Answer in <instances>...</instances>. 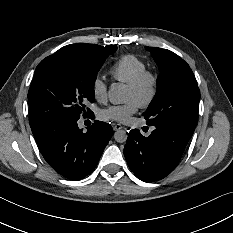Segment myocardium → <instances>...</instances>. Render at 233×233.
<instances>
[{
    "mask_svg": "<svg viewBox=\"0 0 233 233\" xmlns=\"http://www.w3.org/2000/svg\"><path fill=\"white\" fill-rule=\"evenodd\" d=\"M158 85V74L155 71L145 69L127 84V88L134 91L145 90L146 94L141 105L147 106L155 99Z\"/></svg>",
    "mask_w": 233,
    "mask_h": 233,
    "instance_id": "1",
    "label": "myocardium"
}]
</instances>
